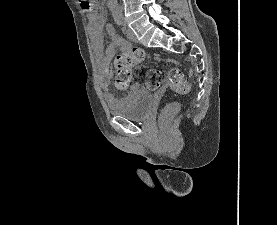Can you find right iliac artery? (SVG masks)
Wrapping results in <instances>:
<instances>
[{
	"label": "right iliac artery",
	"mask_w": 277,
	"mask_h": 225,
	"mask_svg": "<svg viewBox=\"0 0 277 225\" xmlns=\"http://www.w3.org/2000/svg\"><path fill=\"white\" fill-rule=\"evenodd\" d=\"M117 24H118V25H121V23H120L119 21L117 22Z\"/></svg>",
	"instance_id": "1"
}]
</instances>
